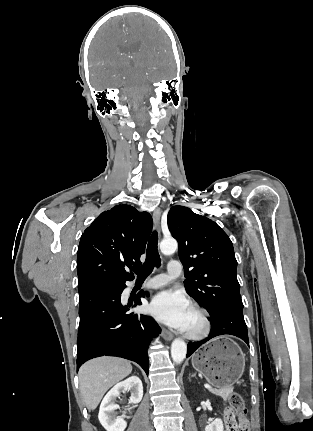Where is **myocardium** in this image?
<instances>
[{
    "instance_id": "1",
    "label": "myocardium",
    "mask_w": 313,
    "mask_h": 431,
    "mask_svg": "<svg viewBox=\"0 0 313 431\" xmlns=\"http://www.w3.org/2000/svg\"><path fill=\"white\" fill-rule=\"evenodd\" d=\"M191 309L199 316L201 326L195 331H185V337L191 340H201L206 338L212 330V321L209 313L199 305H192Z\"/></svg>"
}]
</instances>
